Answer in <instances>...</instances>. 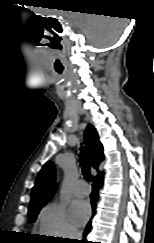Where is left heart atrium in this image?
Here are the masks:
<instances>
[{"mask_svg":"<svg viewBox=\"0 0 154 243\" xmlns=\"http://www.w3.org/2000/svg\"><path fill=\"white\" fill-rule=\"evenodd\" d=\"M90 215L89 204L85 201L75 202L70 208V217L73 223L81 226Z\"/></svg>","mask_w":154,"mask_h":243,"instance_id":"1","label":"left heart atrium"}]
</instances>
